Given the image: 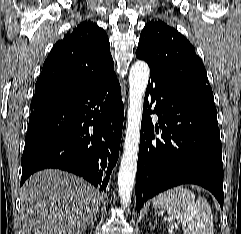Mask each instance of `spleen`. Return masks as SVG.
Returning <instances> with one entry per match:
<instances>
[{
	"label": "spleen",
	"mask_w": 241,
	"mask_h": 234,
	"mask_svg": "<svg viewBox=\"0 0 241 234\" xmlns=\"http://www.w3.org/2000/svg\"><path fill=\"white\" fill-rule=\"evenodd\" d=\"M154 207L167 211L182 223L184 234H214L213 215L207 200L184 186L166 190L153 199Z\"/></svg>",
	"instance_id": "1"
}]
</instances>
